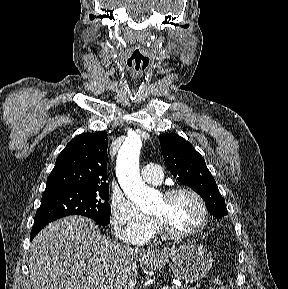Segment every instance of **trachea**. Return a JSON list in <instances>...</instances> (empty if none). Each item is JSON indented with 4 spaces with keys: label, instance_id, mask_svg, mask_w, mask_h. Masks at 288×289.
Instances as JSON below:
<instances>
[{
    "label": "trachea",
    "instance_id": "trachea-1",
    "mask_svg": "<svg viewBox=\"0 0 288 289\" xmlns=\"http://www.w3.org/2000/svg\"><path fill=\"white\" fill-rule=\"evenodd\" d=\"M148 63V58L138 49H135L127 60L128 68L136 74L145 71Z\"/></svg>",
    "mask_w": 288,
    "mask_h": 289
}]
</instances>
